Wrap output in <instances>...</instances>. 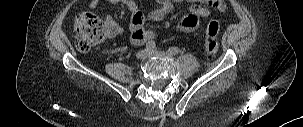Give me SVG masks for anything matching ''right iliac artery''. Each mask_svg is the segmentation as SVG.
Here are the masks:
<instances>
[{
    "label": "right iliac artery",
    "mask_w": 303,
    "mask_h": 127,
    "mask_svg": "<svg viewBox=\"0 0 303 127\" xmlns=\"http://www.w3.org/2000/svg\"><path fill=\"white\" fill-rule=\"evenodd\" d=\"M155 47H156V44H155L154 41H149V42L146 44V49H147L148 51L153 50Z\"/></svg>",
    "instance_id": "82829eb1"
}]
</instances>
